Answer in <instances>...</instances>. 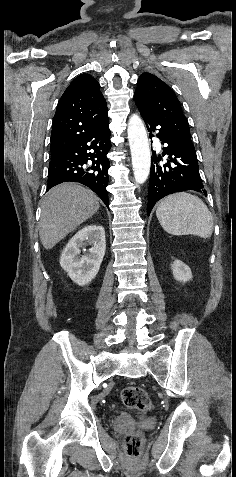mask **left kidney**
<instances>
[{
    "mask_svg": "<svg viewBox=\"0 0 236 477\" xmlns=\"http://www.w3.org/2000/svg\"><path fill=\"white\" fill-rule=\"evenodd\" d=\"M174 278L180 282H187L192 279V272L189 266L180 260H175L172 264Z\"/></svg>",
    "mask_w": 236,
    "mask_h": 477,
    "instance_id": "1",
    "label": "left kidney"
}]
</instances>
